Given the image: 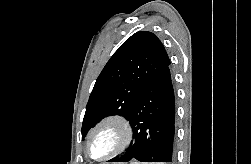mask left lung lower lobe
<instances>
[{
  "mask_svg": "<svg viewBox=\"0 0 251 164\" xmlns=\"http://www.w3.org/2000/svg\"><path fill=\"white\" fill-rule=\"evenodd\" d=\"M169 65L146 85L131 110L128 120L134 143L122 157L110 162L173 161L175 95Z\"/></svg>",
  "mask_w": 251,
  "mask_h": 164,
  "instance_id": "obj_1",
  "label": "left lung lower lobe"
}]
</instances>
